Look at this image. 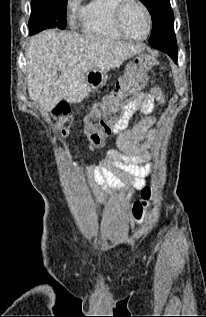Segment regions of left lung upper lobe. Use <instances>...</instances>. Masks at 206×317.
I'll list each match as a JSON object with an SVG mask.
<instances>
[{"label":"left lung upper lobe","mask_w":206,"mask_h":317,"mask_svg":"<svg viewBox=\"0 0 206 317\" xmlns=\"http://www.w3.org/2000/svg\"><path fill=\"white\" fill-rule=\"evenodd\" d=\"M148 9L153 20L151 45L171 43L176 45L174 17L170 0H140Z\"/></svg>","instance_id":"5c2ea615"}]
</instances>
